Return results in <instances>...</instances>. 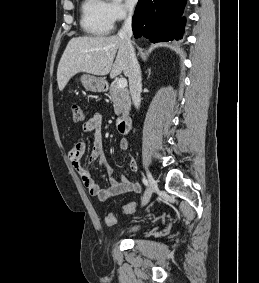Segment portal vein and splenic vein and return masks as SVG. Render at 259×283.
Segmentation results:
<instances>
[{
	"label": "portal vein and splenic vein",
	"instance_id": "18ae733b",
	"mask_svg": "<svg viewBox=\"0 0 259 283\" xmlns=\"http://www.w3.org/2000/svg\"><path fill=\"white\" fill-rule=\"evenodd\" d=\"M117 86H118L119 88H121V89L126 88V86H127V80H126L125 78L119 79L118 82H117Z\"/></svg>",
	"mask_w": 259,
	"mask_h": 283
}]
</instances>
